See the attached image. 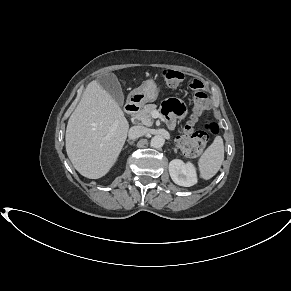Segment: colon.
<instances>
[{
    "label": "colon",
    "instance_id": "5ec220e1",
    "mask_svg": "<svg viewBox=\"0 0 291 291\" xmlns=\"http://www.w3.org/2000/svg\"><path fill=\"white\" fill-rule=\"evenodd\" d=\"M163 78L170 85L179 84L184 75L180 71L166 69L162 73ZM191 88L194 92V115L193 120L202 116L208 109L209 98L204 90L203 83L195 79L191 83ZM218 132V127L215 123L207 121L204 124L203 130L193 131L192 126L189 124L182 130V134L178 139V144L182 151L187 155H197L203 151L208 143L209 137L215 135Z\"/></svg>",
    "mask_w": 291,
    "mask_h": 291
}]
</instances>
